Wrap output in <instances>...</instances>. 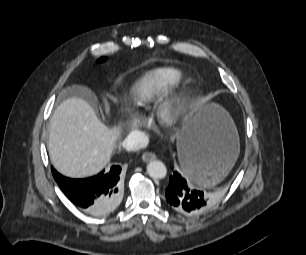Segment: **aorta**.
<instances>
[{
  "mask_svg": "<svg viewBox=\"0 0 306 255\" xmlns=\"http://www.w3.org/2000/svg\"><path fill=\"white\" fill-rule=\"evenodd\" d=\"M147 173L153 179H163L167 175V168L165 164L159 160H154L148 163Z\"/></svg>",
  "mask_w": 306,
  "mask_h": 255,
  "instance_id": "obj_1",
  "label": "aorta"
}]
</instances>
